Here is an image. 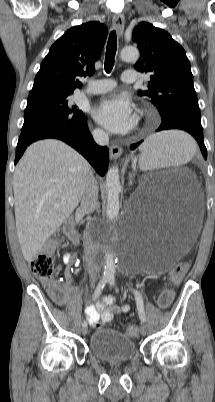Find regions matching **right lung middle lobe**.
<instances>
[{"instance_id": "1", "label": "right lung middle lobe", "mask_w": 215, "mask_h": 402, "mask_svg": "<svg viewBox=\"0 0 215 402\" xmlns=\"http://www.w3.org/2000/svg\"><path fill=\"white\" fill-rule=\"evenodd\" d=\"M84 118L82 111L71 104L69 94L29 96L17 145H25L42 134L78 124Z\"/></svg>"}]
</instances>
